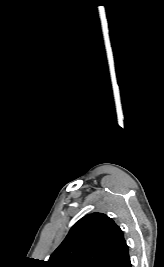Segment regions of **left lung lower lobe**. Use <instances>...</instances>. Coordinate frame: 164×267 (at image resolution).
I'll return each instance as SVG.
<instances>
[{
	"mask_svg": "<svg viewBox=\"0 0 164 267\" xmlns=\"http://www.w3.org/2000/svg\"><path fill=\"white\" fill-rule=\"evenodd\" d=\"M104 267H132L125 240L108 259Z\"/></svg>",
	"mask_w": 164,
	"mask_h": 267,
	"instance_id": "0a47b994",
	"label": "left lung lower lobe"
}]
</instances>
